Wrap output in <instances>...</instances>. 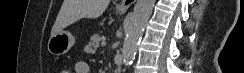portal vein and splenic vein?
I'll return each mask as SVG.
<instances>
[{"instance_id":"obj_1","label":"portal vein and splenic vein","mask_w":244,"mask_h":73,"mask_svg":"<svg viewBox=\"0 0 244 73\" xmlns=\"http://www.w3.org/2000/svg\"><path fill=\"white\" fill-rule=\"evenodd\" d=\"M101 45L104 47L106 46V42L105 41H102Z\"/></svg>"}]
</instances>
